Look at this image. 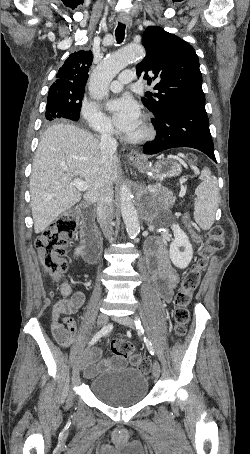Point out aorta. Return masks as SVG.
<instances>
[{"mask_svg": "<svg viewBox=\"0 0 250 454\" xmlns=\"http://www.w3.org/2000/svg\"><path fill=\"white\" fill-rule=\"evenodd\" d=\"M145 54L142 45L129 44L109 54L93 70L89 82V94L100 101L108 94V87L115 76L124 69L131 61ZM133 196L130 188L123 183L120 188V209L128 236L135 238L140 232V224L137 210L133 205Z\"/></svg>", "mask_w": 250, "mask_h": 454, "instance_id": "aorta-1", "label": "aorta"}]
</instances>
